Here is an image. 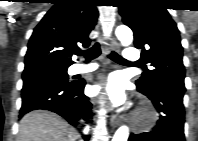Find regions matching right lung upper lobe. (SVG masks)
<instances>
[{
    "instance_id": "cb5924a9",
    "label": "right lung upper lobe",
    "mask_w": 198,
    "mask_h": 141,
    "mask_svg": "<svg viewBox=\"0 0 198 141\" xmlns=\"http://www.w3.org/2000/svg\"><path fill=\"white\" fill-rule=\"evenodd\" d=\"M98 11L93 0H59L36 26L28 44L24 72L64 68L74 62L78 44L88 46Z\"/></svg>"
}]
</instances>
